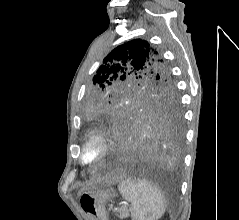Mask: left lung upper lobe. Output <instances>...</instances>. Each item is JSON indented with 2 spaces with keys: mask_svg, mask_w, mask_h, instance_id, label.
Segmentation results:
<instances>
[{
  "mask_svg": "<svg viewBox=\"0 0 239 220\" xmlns=\"http://www.w3.org/2000/svg\"><path fill=\"white\" fill-rule=\"evenodd\" d=\"M83 104V118L94 122L105 110L180 112L171 70L160 51L141 39L126 42L103 60Z\"/></svg>",
  "mask_w": 239,
  "mask_h": 220,
  "instance_id": "5c2ea615",
  "label": "left lung upper lobe"
}]
</instances>
